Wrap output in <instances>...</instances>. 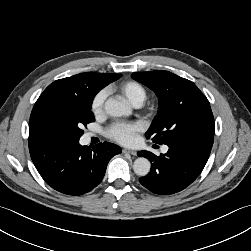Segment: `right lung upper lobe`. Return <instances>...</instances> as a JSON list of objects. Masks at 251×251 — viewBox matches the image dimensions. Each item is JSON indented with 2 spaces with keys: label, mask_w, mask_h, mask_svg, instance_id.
Segmentation results:
<instances>
[{
  "label": "right lung upper lobe",
  "mask_w": 251,
  "mask_h": 251,
  "mask_svg": "<svg viewBox=\"0 0 251 251\" xmlns=\"http://www.w3.org/2000/svg\"><path fill=\"white\" fill-rule=\"evenodd\" d=\"M90 74H96L98 76L107 79H112L114 81L121 77V74L81 73L71 77L56 80L44 90V92L40 95V97L38 98V100L34 105L29 121V133H30L29 137L33 136L42 137L37 129L35 122L34 110L36 109V107L40 103L49 99H64L78 95L81 86L86 82Z\"/></svg>",
  "instance_id": "obj_1"
}]
</instances>
